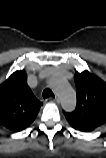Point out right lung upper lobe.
<instances>
[{"label":"right lung upper lobe","instance_id":"obj_1","mask_svg":"<svg viewBox=\"0 0 106 158\" xmlns=\"http://www.w3.org/2000/svg\"><path fill=\"white\" fill-rule=\"evenodd\" d=\"M42 102L36 99L27 84L24 70L14 72L0 85V125L21 131L36 118Z\"/></svg>","mask_w":106,"mask_h":158}]
</instances>
